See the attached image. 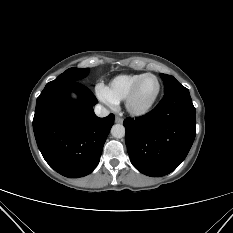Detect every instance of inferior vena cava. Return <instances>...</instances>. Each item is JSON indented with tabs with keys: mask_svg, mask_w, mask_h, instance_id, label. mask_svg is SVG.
Segmentation results:
<instances>
[{
	"mask_svg": "<svg viewBox=\"0 0 233 233\" xmlns=\"http://www.w3.org/2000/svg\"><path fill=\"white\" fill-rule=\"evenodd\" d=\"M94 112L98 117H106L109 115V110L100 104L95 106Z\"/></svg>",
	"mask_w": 233,
	"mask_h": 233,
	"instance_id": "602c4592",
	"label": "inferior vena cava"
}]
</instances>
